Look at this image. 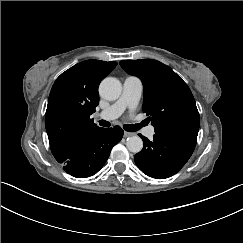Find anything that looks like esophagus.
<instances>
[{
    "label": "esophagus",
    "mask_w": 243,
    "mask_h": 243,
    "mask_svg": "<svg viewBox=\"0 0 243 243\" xmlns=\"http://www.w3.org/2000/svg\"><path fill=\"white\" fill-rule=\"evenodd\" d=\"M133 135H134V133H132V132H124V137L125 138L133 136Z\"/></svg>",
    "instance_id": "esophagus-1"
}]
</instances>
